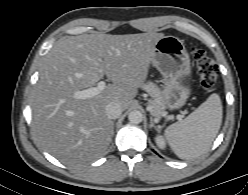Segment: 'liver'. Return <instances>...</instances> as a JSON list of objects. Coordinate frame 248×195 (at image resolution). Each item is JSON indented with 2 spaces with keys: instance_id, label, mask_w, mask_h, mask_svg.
I'll list each match as a JSON object with an SVG mask.
<instances>
[{
  "instance_id": "6515ba94",
  "label": "liver",
  "mask_w": 248,
  "mask_h": 195,
  "mask_svg": "<svg viewBox=\"0 0 248 195\" xmlns=\"http://www.w3.org/2000/svg\"><path fill=\"white\" fill-rule=\"evenodd\" d=\"M163 33L82 34L59 40L44 57L32 97L33 131L47 152L66 165L102 156L113 136L110 102L126 110L148 75ZM106 75L98 95L78 99Z\"/></svg>"
}]
</instances>
